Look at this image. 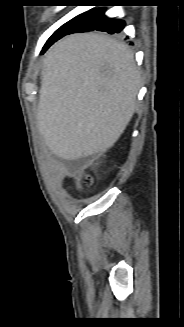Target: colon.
Returning <instances> with one entry per match:
<instances>
[{"mask_svg": "<svg viewBox=\"0 0 184 327\" xmlns=\"http://www.w3.org/2000/svg\"><path fill=\"white\" fill-rule=\"evenodd\" d=\"M91 184V177L88 175H78L77 176V185L79 188L84 186H89Z\"/></svg>", "mask_w": 184, "mask_h": 327, "instance_id": "colon-1", "label": "colon"}]
</instances>
